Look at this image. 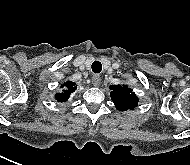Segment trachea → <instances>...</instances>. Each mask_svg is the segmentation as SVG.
<instances>
[{"mask_svg":"<svg viewBox=\"0 0 190 165\" xmlns=\"http://www.w3.org/2000/svg\"><path fill=\"white\" fill-rule=\"evenodd\" d=\"M101 70H102V64H101V62H99V61H94V62L92 63V71H93L94 73H100Z\"/></svg>","mask_w":190,"mask_h":165,"instance_id":"3493384b","label":"trachea"}]
</instances>
